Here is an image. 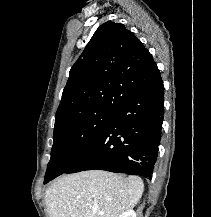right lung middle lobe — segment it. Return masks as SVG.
Returning <instances> with one entry per match:
<instances>
[{"instance_id": "dd1d6c3e", "label": "right lung middle lobe", "mask_w": 211, "mask_h": 217, "mask_svg": "<svg viewBox=\"0 0 211 217\" xmlns=\"http://www.w3.org/2000/svg\"><path fill=\"white\" fill-rule=\"evenodd\" d=\"M115 114L116 111H95L55 126L44 182L63 174L79 160L102 136Z\"/></svg>"}]
</instances>
